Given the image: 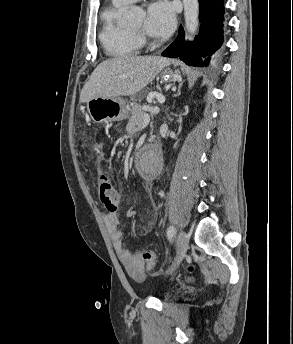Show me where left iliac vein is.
<instances>
[{
	"mask_svg": "<svg viewBox=\"0 0 293 344\" xmlns=\"http://www.w3.org/2000/svg\"><path fill=\"white\" fill-rule=\"evenodd\" d=\"M189 244V235L185 231H181L177 241V257L174 264L168 269L167 273H172L184 258Z\"/></svg>",
	"mask_w": 293,
	"mask_h": 344,
	"instance_id": "obj_1",
	"label": "left iliac vein"
}]
</instances>
